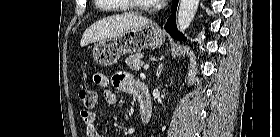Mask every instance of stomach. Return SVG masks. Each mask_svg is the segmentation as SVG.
I'll return each mask as SVG.
<instances>
[{
    "label": "stomach",
    "instance_id": "1",
    "mask_svg": "<svg viewBox=\"0 0 280 137\" xmlns=\"http://www.w3.org/2000/svg\"><path fill=\"white\" fill-rule=\"evenodd\" d=\"M164 41V31L152 23L98 42L93 49V58L101 66H112L122 54L140 52L148 47L158 48Z\"/></svg>",
    "mask_w": 280,
    "mask_h": 137
}]
</instances>
